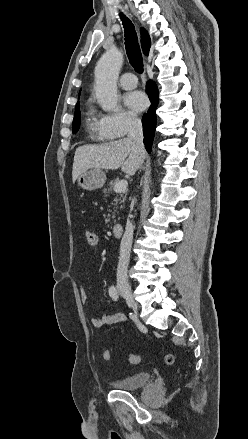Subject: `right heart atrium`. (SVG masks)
I'll list each match as a JSON object with an SVG mask.
<instances>
[{"label": "right heart atrium", "instance_id": "1", "mask_svg": "<svg viewBox=\"0 0 248 439\" xmlns=\"http://www.w3.org/2000/svg\"><path fill=\"white\" fill-rule=\"evenodd\" d=\"M99 120L102 131L111 138L124 137L140 123L138 116L127 110L101 115Z\"/></svg>", "mask_w": 248, "mask_h": 439}]
</instances>
